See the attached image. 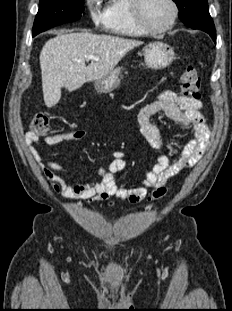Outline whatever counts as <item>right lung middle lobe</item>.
<instances>
[{
	"label": "right lung middle lobe",
	"instance_id": "obj_1",
	"mask_svg": "<svg viewBox=\"0 0 232 311\" xmlns=\"http://www.w3.org/2000/svg\"><path fill=\"white\" fill-rule=\"evenodd\" d=\"M84 0H40L33 36L54 26L78 20L84 11Z\"/></svg>",
	"mask_w": 232,
	"mask_h": 311
}]
</instances>
